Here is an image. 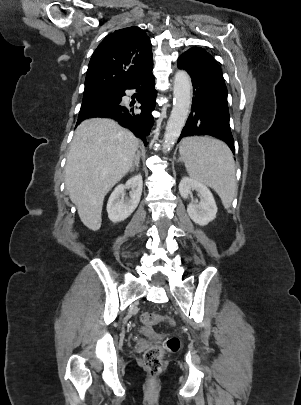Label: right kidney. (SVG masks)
<instances>
[{"label":"right kidney","mask_w":301,"mask_h":405,"mask_svg":"<svg viewBox=\"0 0 301 405\" xmlns=\"http://www.w3.org/2000/svg\"><path fill=\"white\" fill-rule=\"evenodd\" d=\"M142 187V176L135 175L125 185L120 184L114 189L107 203L108 218L112 222H121L134 212L140 202ZM125 188H131L130 199H124Z\"/></svg>","instance_id":"right-kidney-1"}]
</instances>
